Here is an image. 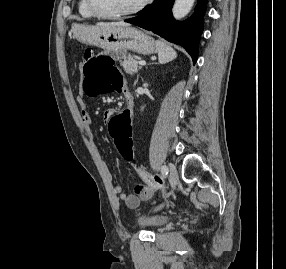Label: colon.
I'll list each match as a JSON object with an SVG mask.
<instances>
[{"instance_id":"1","label":"colon","mask_w":286,"mask_h":269,"mask_svg":"<svg viewBox=\"0 0 286 269\" xmlns=\"http://www.w3.org/2000/svg\"><path fill=\"white\" fill-rule=\"evenodd\" d=\"M130 49H101L98 56L90 49L84 52L82 73L83 88L87 93L108 92L120 90L123 86V74L115 62H124L129 58ZM109 138H113V147L117 148L119 159L129 162L136 161V141L131 139L130 131L133 126L132 111L122 108L109 116ZM127 168H140V163H127ZM138 176L139 170H136ZM148 183L158 186L160 181L147 174ZM136 194L145 193L142 186H136Z\"/></svg>"}]
</instances>
